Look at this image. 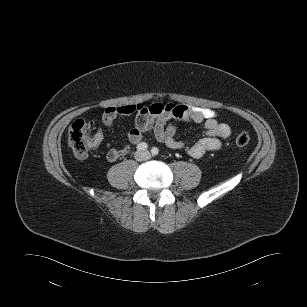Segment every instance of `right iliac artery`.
I'll return each instance as SVG.
<instances>
[{"label": "right iliac artery", "mask_w": 307, "mask_h": 307, "mask_svg": "<svg viewBox=\"0 0 307 307\" xmlns=\"http://www.w3.org/2000/svg\"><path fill=\"white\" fill-rule=\"evenodd\" d=\"M139 151H144V150H146L147 148H148V145H147V143H145V142H141V143H139L138 145H137V147H136Z\"/></svg>", "instance_id": "82829eb1"}]
</instances>
